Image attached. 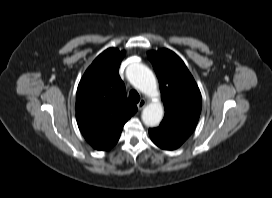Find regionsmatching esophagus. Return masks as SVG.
I'll list each match as a JSON object with an SVG mask.
<instances>
[{"label":"esophagus","mask_w":272,"mask_h":198,"mask_svg":"<svg viewBox=\"0 0 272 198\" xmlns=\"http://www.w3.org/2000/svg\"><path fill=\"white\" fill-rule=\"evenodd\" d=\"M145 105H146V100H145V99H141V100L139 101V103L137 104V108H138L139 110H142V109L145 107Z\"/></svg>","instance_id":"esophagus-1"}]
</instances>
